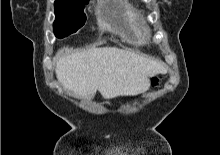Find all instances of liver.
<instances>
[{
  "instance_id": "obj_1",
  "label": "liver",
  "mask_w": 220,
  "mask_h": 155,
  "mask_svg": "<svg viewBox=\"0 0 220 155\" xmlns=\"http://www.w3.org/2000/svg\"><path fill=\"white\" fill-rule=\"evenodd\" d=\"M56 76L66 89L80 98H92L98 90L104 99L146 92L150 78L166 72L163 63L116 47L86 51H60Z\"/></svg>"
}]
</instances>
